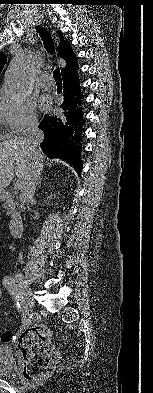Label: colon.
Here are the masks:
<instances>
[{
	"instance_id": "colon-1",
	"label": "colon",
	"mask_w": 153,
	"mask_h": 393,
	"mask_svg": "<svg viewBox=\"0 0 153 393\" xmlns=\"http://www.w3.org/2000/svg\"><path fill=\"white\" fill-rule=\"evenodd\" d=\"M50 328L34 325L24 329L19 335V345L23 356V377L28 381H39L59 367V352L50 343Z\"/></svg>"
}]
</instances>
